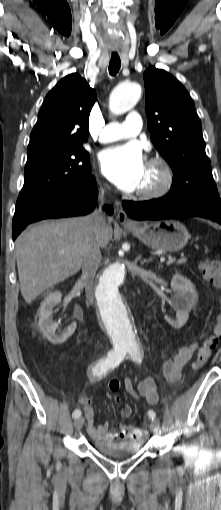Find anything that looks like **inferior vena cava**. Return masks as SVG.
Here are the masks:
<instances>
[{
  "label": "inferior vena cava",
  "instance_id": "1",
  "mask_svg": "<svg viewBox=\"0 0 221 510\" xmlns=\"http://www.w3.org/2000/svg\"><path fill=\"white\" fill-rule=\"evenodd\" d=\"M99 200L103 204V190H101L99 193ZM85 220L86 233L80 249V255L82 258V277L86 282V295L90 301H93L94 278L102 259L100 253L99 237L106 229L107 224L104 217L99 213V210H95L93 213L85 217Z\"/></svg>",
  "mask_w": 221,
  "mask_h": 510
}]
</instances>
